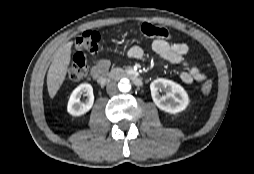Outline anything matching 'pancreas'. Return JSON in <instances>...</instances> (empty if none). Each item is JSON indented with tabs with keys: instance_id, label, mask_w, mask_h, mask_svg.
<instances>
[{
	"instance_id": "1",
	"label": "pancreas",
	"mask_w": 254,
	"mask_h": 174,
	"mask_svg": "<svg viewBox=\"0 0 254 174\" xmlns=\"http://www.w3.org/2000/svg\"><path fill=\"white\" fill-rule=\"evenodd\" d=\"M116 71H122V70L114 68V69L111 70V75H113Z\"/></svg>"
}]
</instances>
